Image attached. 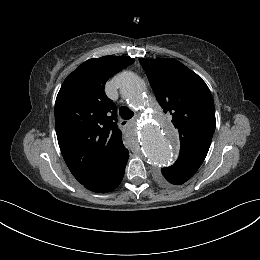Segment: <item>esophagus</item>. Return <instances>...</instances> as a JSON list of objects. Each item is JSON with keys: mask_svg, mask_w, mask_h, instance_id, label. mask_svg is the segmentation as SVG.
Returning a JSON list of instances; mask_svg holds the SVG:
<instances>
[{"mask_svg": "<svg viewBox=\"0 0 260 260\" xmlns=\"http://www.w3.org/2000/svg\"><path fill=\"white\" fill-rule=\"evenodd\" d=\"M126 123H127L126 121H121V122H120L121 126L126 125Z\"/></svg>", "mask_w": 260, "mask_h": 260, "instance_id": "34e87169", "label": "esophagus"}]
</instances>
